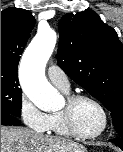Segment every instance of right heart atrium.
Listing matches in <instances>:
<instances>
[{"mask_svg":"<svg viewBox=\"0 0 123 152\" xmlns=\"http://www.w3.org/2000/svg\"><path fill=\"white\" fill-rule=\"evenodd\" d=\"M19 114L28 128L41 133L49 130L50 115L37 108L25 94L20 99Z\"/></svg>","mask_w":123,"mask_h":152,"instance_id":"obj_1","label":"right heart atrium"}]
</instances>
